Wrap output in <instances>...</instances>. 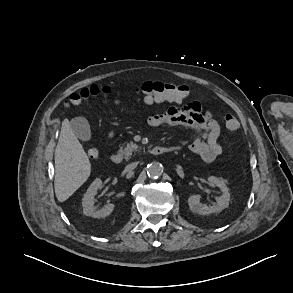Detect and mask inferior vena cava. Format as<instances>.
<instances>
[{"label": "inferior vena cava", "mask_w": 293, "mask_h": 293, "mask_svg": "<svg viewBox=\"0 0 293 293\" xmlns=\"http://www.w3.org/2000/svg\"><path fill=\"white\" fill-rule=\"evenodd\" d=\"M138 165L137 162H134V163H131V164H128L126 167H125V170L126 171H132L136 168V166Z\"/></svg>", "instance_id": "602c4592"}]
</instances>
